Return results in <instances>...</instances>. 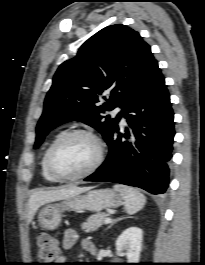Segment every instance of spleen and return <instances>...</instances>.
Here are the masks:
<instances>
[{"label": "spleen", "mask_w": 205, "mask_h": 265, "mask_svg": "<svg viewBox=\"0 0 205 265\" xmlns=\"http://www.w3.org/2000/svg\"><path fill=\"white\" fill-rule=\"evenodd\" d=\"M114 190L121 194L128 214H135L146 203V197L136 188L116 184L114 185Z\"/></svg>", "instance_id": "1"}]
</instances>
